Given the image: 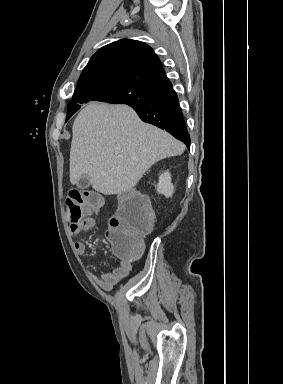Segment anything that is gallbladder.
Instances as JSON below:
<instances>
[{
    "instance_id": "obj_1",
    "label": "gallbladder",
    "mask_w": 283,
    "mask_h": 384,
    "mask_svg": "<svg viewBox=\"0 0 283 384\" xmlns=\"http://www.w3.org/2000/svg\"><path fill=\"white\" fill-rule=\"evenodd\" d=\"M81 186H84L85 188H89L90 182L88 176H83V178H80L77 182V188H80Z\"/></svg>"
}]
</instances>
